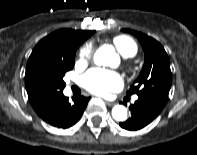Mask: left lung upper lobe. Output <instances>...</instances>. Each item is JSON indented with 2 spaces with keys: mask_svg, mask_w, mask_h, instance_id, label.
<instances>
[{
  "mask_svg": "<svg viewBox=\"0 0 197 155\" xmlns=\"http://www.w3.org/2000/svg\"><path fill=\"white\" fill-rule=\"evenodd\" d=\"M134 35L141 43L145 62L139 77L127 91V95L137 94L164 108L172 84V73L167 53L162 45L143 33L124 29Z\"/></svg>",
  "mask_w": 197,
  "mask_h": 155,
  "instance_id": "1",
  "label": "left lung upper lobe"
}]
</instances>
